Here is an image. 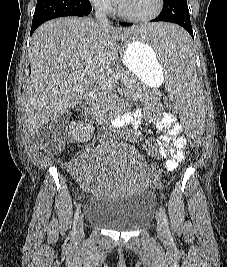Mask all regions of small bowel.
Segmentation results:
<instances>
[{
    "mask_svg": "<svg viewBox=\"0 0 227 267\" xmlns=\"http://www.w3.org/2000/svg\"><path fill=\"white\" fill-rule=\"evenodd\" d=\"M153 123L163 133L156 138L150 137L141 131L142 120ZM114 135L130 131V137L139 146L143 147L150 156L164 158V167L167 171H174L179 165V158L185 153L187 139L182 133V125L176 116H168L161 111L156 101L146 103L141 111H133L113 119L111 123ZM68 172L82 185L89 179V168L78 157L67 164Z\"/></svg>",
    "mask_w": 227,
    "mask_h": 267,
    "instance_id": "1",
    "label": "small bowel"
}]
</instances>
